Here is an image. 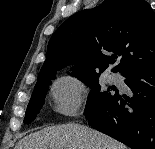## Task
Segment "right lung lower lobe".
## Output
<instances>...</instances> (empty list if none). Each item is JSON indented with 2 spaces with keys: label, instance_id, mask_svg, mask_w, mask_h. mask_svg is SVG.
I'll return each mask as SVG.
<instances>
[{
  "label": "right lung lower lobe",
  "instance_id": "1",
  "mask_svg": "<svg viewBox=\"0 0 155 149\" xmlns=\"http://www.w3.org/2000/svg\"><path fill=\"white\" fill-rule=\"evenodd\" d=\"M133 96L117 94L88 124L132 149H155V66L123 74Z\"/></svg>",
  "mask_w": 155,
  "mask_h": 149
}]
</instances>
